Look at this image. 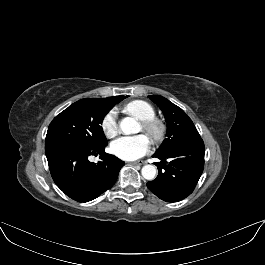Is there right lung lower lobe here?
<instances>
[{
	"instance_id": "obj_1",
	"label": "right lung lower lobe",
	"mask_w": 265,
	"mask_h": 265,
	"mask_svg": "<svg viewBox=\"0 0 265 265\" xmlns=\"http://www.w3.org/2000/svg\"><path fill=\"white\" fill-rule=\"evenodd\" d=\"M107 144L88 147L74 141L53 140L45 142V153L55 184L70 198L88 202L111 188L124 161L104 152ZM100 155L95 164L91 155Z\"/></svg>"
}]
</instances>
